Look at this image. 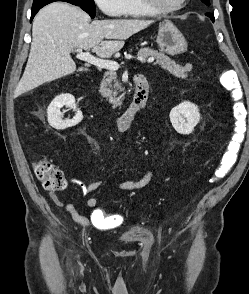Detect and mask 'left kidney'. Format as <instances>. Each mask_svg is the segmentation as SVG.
Masks as SVG:
<instances>
[{"mask_svg": "<svg viewBox=\"0 0 249 294\" xmlns=\"http://www.w3.org/2000/svg\"><path fill=\"white\" fill-rule=\"evenodd\" d=\"M170 121L174 129L183 135H189L200 121L198 107L189 102H181L170 111Z\"/></svg>", "mask_w": 249, "mask_h": 294, "instance_id": "obj_1", "label": "left kidney"}]
</instances>
